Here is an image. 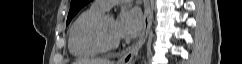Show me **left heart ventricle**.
<instances>
[{
  "instance_id": "obj_1",
  "label": "left heart ventricle",
  "mask_w": 242,
  "mask_h": 64,
  "mask_svg": "<svg viewBox=\"0 0 242 64\" xmlns=\"http://www.w3.org/2000/svg\"><path fill=\"white\" fill-rule=\"evenodd\" d=\"M115 24L116 21L112 17L107 16V18L104 20L102 27V36L105 41L111 42L117 38L115 34Z\"/></svg>"
}]
</instances>
